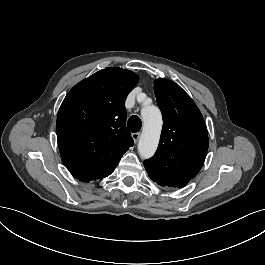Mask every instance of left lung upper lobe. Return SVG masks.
Listing matches in <instances>:
<instances>
[{
  "instance_id": "left-lung-upper-lobe-1",
  "label": "left lung upper lobe",
  "mask_w": 265,
  "mask_h": 265,
  "mask_svg": "<svg viewBox=\"0 0 265 265\" xmlns=\"http://www.w3.org/2000/svg\"><path fill=\"white\" fill-rule=\"evenodd\" d=\"M163 129L155 155L144 162L154 182L182 188L202 168L209 145L203 116L191 97L167 79L154 81Z\"/></svg>"
}]
</instances>
